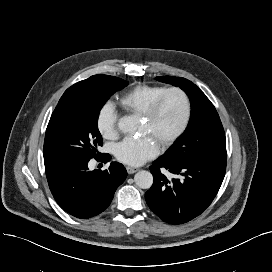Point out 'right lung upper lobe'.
Returning a JSON list of instances; mask_svg holds the SVG:
<instances>
[{"label": "right lung upper lobe", "mask_w": 272, "mask_h": 272, "mask_svg": "<svg viewBox=\"0 0 272 272\" xmlns=\"http://www.w3.org/2000/svg\"><path fill=\"white\" fill-rule=\"evenodd\" d=\"M97 76L98 75L91 76L90 78L80 81L69 87L61 97L59 103L63 102L67 98L74 97L86 90Z\"/></svg>", "instance_id": "obj_1"}]
</instances>
